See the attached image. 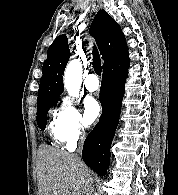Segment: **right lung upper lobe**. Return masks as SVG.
Here are the masks:
<instances>
[{"label":"right lung upper lobe","instance_id":"1","mask_svg":"<svg viewBox=\"0 0 178 195\" xmlns=\"http://www.w3.org/2000/svg\"><path fill=\"white\" fill-rule=\"evenodd\" d=\"M90 34L95 38L104 60L103 72L129 64L125 36L118 23L104 9L95 15ZM70 55L66 35L58 36L49 47L47 59L43 63L37 105L55 101L64 91L62 78Z\"/></svg>","mask_w":178,"mask_h":195}]
</instances>
